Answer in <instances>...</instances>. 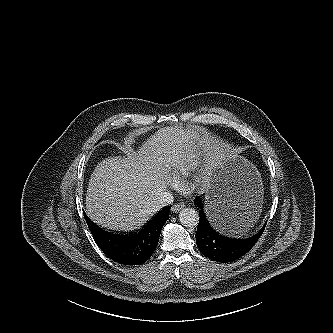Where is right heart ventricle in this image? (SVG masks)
<instances>
[{
    "label": "right heart ventricle",
    "mask_w": 333,
    "mask_h": 333,
    "mask_svg": "<svg viewBox=\"0 0 333 333\" xmlns=\"http://www.w3.org/2000/svg\"><path fill=\"white\" fill-rule=\"evenodd\" d=\"M199 154L197 152H188L177 158L173 164V172L178 177L190 175L198 166Z\"/></svg>",
    "instance_id": "e07e8e85"
}]
</instances>
